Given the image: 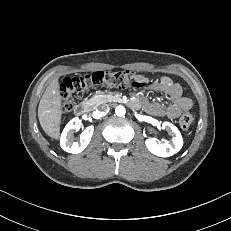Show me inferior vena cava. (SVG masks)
Listing matches in <instances>:
<instances>
[{
  "label": "inferior vena cava",
  "mask_w": 231,
  "mask_h": 231,
  "mask_svg": "<svg viewBox=\"0 0 231 231\" xmlns=\"http://www.w3.org/2000/svg\"><path fill=\"white\" fill-rule=\"evenodd\" d=\"M109 110L110 108L107 104H103L98 107V111L100 112L102 116H105L106 114H108Z\"/></svg>",
  "instance_id": "obj_1"
}]
</instances>
